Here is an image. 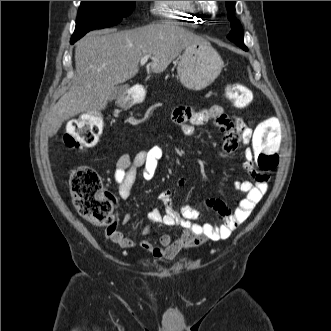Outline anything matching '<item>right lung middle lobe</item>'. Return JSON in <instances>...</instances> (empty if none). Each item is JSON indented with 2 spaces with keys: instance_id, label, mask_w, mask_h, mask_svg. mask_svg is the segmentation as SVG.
Listing matches in <instances>:
<instances>
[{
  "instance_id": "1",
  "label": "right lung middle lobe",
  "mask_w": 331,
  "mask_h": 331,
  "mask_svg": "<svg viewBox=\"0 0 331 331\" xmlns=\"http://www.w3.org/2000/svg\"><path fill=\"white\" fill-rule=\"evenodd\" d=\"M134 7L135 1H81L71 43L90 30L118 24L132 13Z\"/></svg>"
}]
</instances>
